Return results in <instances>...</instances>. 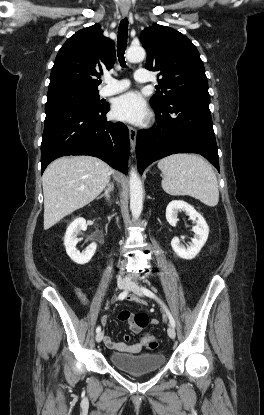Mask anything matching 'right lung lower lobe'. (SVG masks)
Listing matches in <instances>:
<instances>
[{
    "instance_id": "obj_1",
    "label": "right lung lower lobe",
    "mask_w": 264,
    "mask_h": 415,
    "mask_svg": "<svg viewBox=\"0 0 264 415\" xmlns=\"http://www.w3.org/2000/svg\"><path fill=\"white\" fill-rule=\"evenodd\" d=\"M108 105L96 110L61 108L46 112L41 143V173L65 155L98 157L127 173L129 132L121 122L107 121Z\"/></svg>"
}]
</instances>
